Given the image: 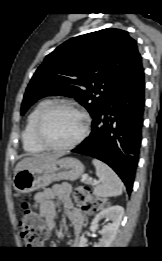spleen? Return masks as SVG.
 Listing matches in <instances>:
<instances>
[{"mask_svg":"<svg viewBox=\"0 0 162 261\" xmlns=\"http://www.w3.org/2000/svg\"><path fill=\"white\" fill-rule=\"evenodd\" d=\"M92 163L96 167V175L99 178L94 187V194L103 198L121 195L124 185L118 175L98 159H93Z\"/></svg>","mask_w":162,"mask_h":261,"instance_id":"1","label":"spleen"}]
</instances>
